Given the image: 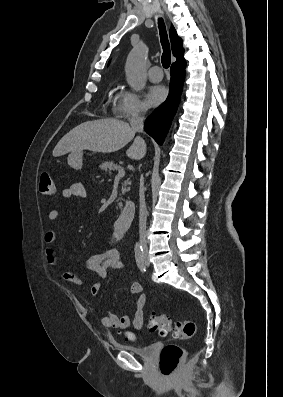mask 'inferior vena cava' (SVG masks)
Here are the masks:
<instances>
[{"label":"inferior vena cava","mask_w":283,"mask_h":397,"mask_svg":"<svg viewBox=\"0 0 283 397\" xmlns=\"http://www.w3.org/2000/svg\"><path fill=\"white\" fill-rule=\"evenodd\" d=\"M142 110L137 109L135 113L132 115L130 119L131 128L137 132L143 131V116L141 115ZM139 237H140V244L145 249L146 248V222H147V208L145 203V195L144 190L140 189L139 194Z\"/></svg>","instance_id":"inferior-vena-cava-1"}]
</instances>
